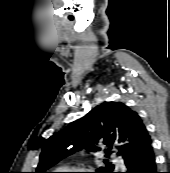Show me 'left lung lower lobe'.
Returning <instances> with one entry per match:
<instances>
[{
    "mask_svg": "<svg viewBox=\"0 0 170 173\" xmlns=\"http://www.w3.org/2000/svg\"><path fill=\"white\" fill-rule=\"evenodd\" d=\"M123 159L127 169L125 173H158L152 141L134 152L127 153ZM113 173L120 172L115 169Z\"/></svg>",
    "mask_w": 170,
    "mask_h": 173,
    "instance_id": "obj_1",
    "label": "left lung lower lobe"
}]
</instances>
